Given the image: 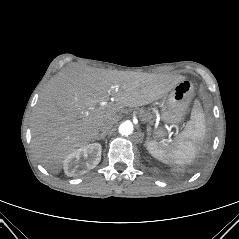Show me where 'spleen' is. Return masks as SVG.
Returning a JSON list of instances; mask_svg holds the SVG:
<instances>
[{"instance_id": "3e777b00", "label": "spleen", "mask_w": 239, "mask_h": 239, "mask_svg": "<svg viewBox=\"0 0 239 239\" xmlns=\"http://www.w3.org/2000/svg\"><path fill=\"white\" fill-rule=\"evenodd\" d=\"M205 131V115L200 103L196 101L190 120L171 144L152 140L147 141L145 146L157 160L168 165L182 166L195 159L200 148L199 143L205 137Z\"/></svg>"}]
</instances>
